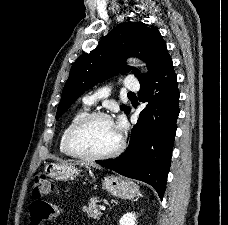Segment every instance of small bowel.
Segmentation results:
<instances>
[{
  "instance_id": "1",
  "label": "small bowel",
  "mask_w": 228,
  "mask_h": 225,
  "mask_svg": "<svg viewBox=\"0 0 228 225\" xmlns=\"http://www.w3.org/2000/svg\"><path fill=\"white\" fill-rule=\"evenodd\" d=\"M47 203V199H36V204H30L29 212H37L30 213V218H36V223H49V218H57L62 214L60 208Z\"/></svg>"
}]
</instances>
